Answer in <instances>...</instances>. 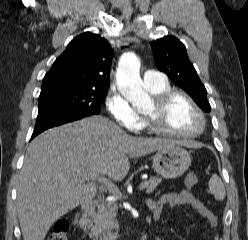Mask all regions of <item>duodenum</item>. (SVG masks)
Wrapping results in <instances>:
<instances>
[{
    "label": "duodenum",
    "instance_id": "1",
    "mask_svg": "<svg viewBox=\"0 0 248 240\" xmlns=\"http://www.w3.org/2000/svg\"><path fill=\"white\" fill-rule=\"evenodd\" d=\"M97 205V202L95 200H88L84 202L77 213L76 218V225L81 228L86 220L89 218V215L93 212ZM138 240H145V235L141 234L138 238Z\"/></svg>",
    "mask_w": 248,
    "mask_h": 240
}]
</instances>
